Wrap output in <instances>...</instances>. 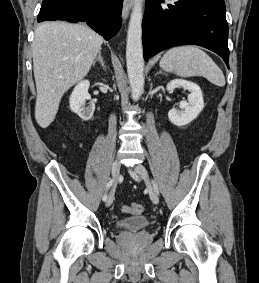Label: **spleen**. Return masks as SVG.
<instances>
[{
	"label": "spleen",
	"instance_id": "1",
	"mask_svg": "<svg viewBox=\"0 0 259 283\" xmlns=\"http://www.w3.org/2000/svg\"><path fill=\"white\" fill-rule=\"evenodd\" d=\"M160 66L180 77L204 76L217 86L225 85L221 69L209 55L195 46H180L168 50L163 55Z\"/></svg>",
	"mask_w": 259,
	"mask_h": 283
}]
</instances>
